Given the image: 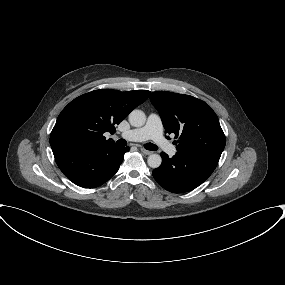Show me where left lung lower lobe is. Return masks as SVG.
I'll return each mask as SVG.
<instances>
[{
	"mask_svg": "<svg viewBox=\"0 0 285 285\" xmlns=\"http://www.w3.org/2000/svg\"><path fill=\"white\" fill-rule=\"evenodd\" d=\"M162 164L153 170L155 180L167 191L188 192L202 184L215 170L216 165L194 157L176 153L169 158L161 153Z\"/></svg>",
	"mask_w": 285,
	"mask_h": 285,
	"instance_id": "0a47b994",
	"label": "left lung lower lobe"
}]
</instances>
